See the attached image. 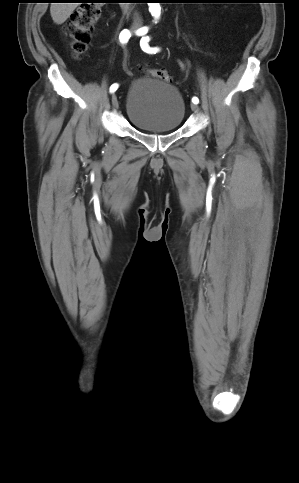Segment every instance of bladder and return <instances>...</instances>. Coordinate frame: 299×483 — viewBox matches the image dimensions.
<instances>
[{
    "mask_svg": "<svg viewBox=\"0 0 299 483\" xmlns=\"http://www.w3.org/2000/svg\"><path fill=\"white\" fill-rule=\"evenodd\" d=\"M185 103L177 88L156 78L135 81L126 96V116L138 130L168 132L183 122Z\"/></svg>",
    "mask_w": 299,
    "mask_h": 483,
    "instance_id": "31cf9c89",
    "label": "bladder"
}]
</instances>
